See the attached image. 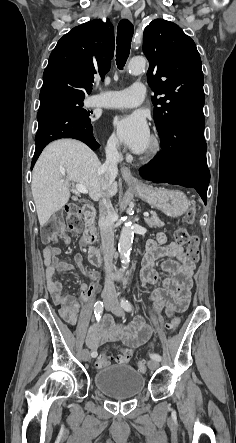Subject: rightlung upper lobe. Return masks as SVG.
Listing matches in <instances>:
<instances>
[{
	"instance_id": "obj_1",
	"label": "right lung upper lobe",
	"mask_w": 236,
	"mask_h": 443,
	"mask_svg": "<svg viewBox=\"0 0 236 443\" xmlns=\"http://www.w3.org/2000/svg\"><path fill=\"white\" fill-rule=\"evenodd\" d=\"M114 47L113 26L109 20L107 23L92 20L74 27L50 54L40 101L56 94H89L94 76L99 74L103 79L109 71Z\"/></svg>"
}]
</instances>
